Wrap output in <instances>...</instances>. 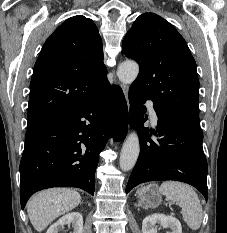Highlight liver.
<instances>
[{"label": "liver", "mask_w": 227, "mask_h": 233, "mask_svg": "<svg viewBox=\"0 0 227 233\" xmlns=\"http://www.w3.org/2000/svg\"><path fill=\"white\" fill-rule=\"evenodd\" d=\"M80 194L72 189L53 188L43 190L30 198L27 212L31 224L42 232L53 220L77 207Z\"/></svg>", "instance_id": "obj_1"}]
</instances>
